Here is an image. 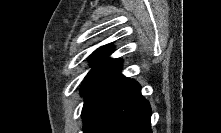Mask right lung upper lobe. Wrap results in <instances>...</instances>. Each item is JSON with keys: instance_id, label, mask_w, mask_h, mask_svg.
<instances>
[{"instance_id": "cb5924a9", "label": "right lung upper lobe", "mask_w": 221, "mask_h": 133, "mask_svg": "<svg viewBox=\"0 0 221 133\" xmlns=\"http://www.w3.org/2000/svg\"><path fill=\"white\" fill-rule=\"evenodd\" d=\"M113 47L111 45H105L96 50L91 59L93 68L90 70L88 75H98L108 72L109 70L119 66L121 61L118 59H111L108 56L112 53Z\"/></svg>"}]
</instances>
